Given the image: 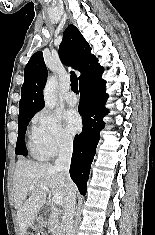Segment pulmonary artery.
<instances>
[{"label": "pulmonary artery", "mask_w": 155, "mask_h": 235, "mask_svg": "<svg viewBox=\"0 0 155 235\" xmlns=\"http://www.w3.org/2000/svg\"><path fill=\"white\" fill-rule=\"evenodd\" d=\"M65 101L68 105L74 106L77 104L78 98L73 92L70 91L65 94Z\"/></svg>", "instance_id": "obj_1"}]
</instances>
